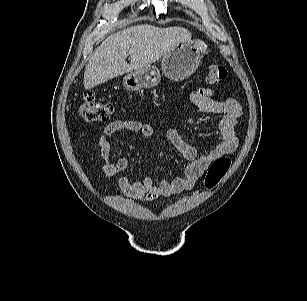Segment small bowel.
I'll list each match as a JSON object with an SVG mask.
<instances>
[{
    "label": "small bowel",
    "instance_id": "c3829d8e",
    "mask_svg": "<svg viewBox=\"0 0 307 301\" xmlns=\"http://www.w3.org/2000/svg\"><path fill=\"white\" fill-rule=\"evenodd\" d=\"M190 101L195 111L200 114L223 115L218 128L221 140L207 152L202 153L197 147L190 144L176 129H167L166 139L176 148L181 157L188 163L180 174L172 180L162 179L158 183L147 176L143 180L130 179L121 176L118 185L124 195L131 199L153 201L159 197H169L193 188L203 176L211 163L219 157L233 154L239 144L235 130L237 120L242 114V106L234 99H217L212 92L199 88L190 94ZM131 132L145 138L155 135V130L147 123L138 120H116L109 123L99 139V150L104 158L101 170L106 177L115 175L127 167V160L122 158L111 160V136L119 132Z\"/></svg>",
    "mask_w": 307,
    "mask_h": 301
}]
</instances>
